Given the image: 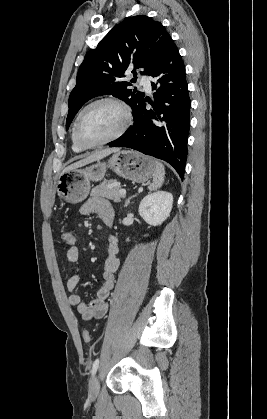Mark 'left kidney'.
Instances as JSON below:
<instances>
[{"label":"left kidney","mask_w":267,"mask_h":419,"mask_svg":"<svg viewBox=\"0 0 267 419\" xmlns=\"http://www.w3.org/2000/svg\"><path fill=\"white\" fill-rule=\"evenodd\" d=\"M173 195L160 191L143 198L139 205L140 216L150 225H161L170 215Z\"/></svg>","instance_id":"5707ae66"}]
</instances>
